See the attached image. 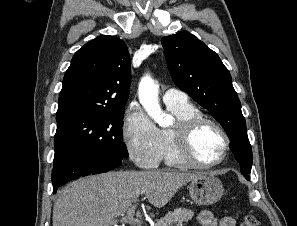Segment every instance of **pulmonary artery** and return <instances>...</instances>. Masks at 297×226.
I'll list each match as a JSON object with an SVG mask.
<instances>
[{"mask_svg": "<svg viewBox=\"0 0 297 226\" xmlns=\"http://www.w3.org/2000/svg\"><path fill=\"white\" fill-rule=\"evenodd\" d=\"M163 102L166 105H188V95L175 88L167 89L163 94Z\"/></svg>", "mask_w": 297, "mask_h": 226, "instance_id": "e3ab8cb5", "label": "pulmonary artery"}]
</instances>
